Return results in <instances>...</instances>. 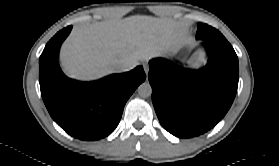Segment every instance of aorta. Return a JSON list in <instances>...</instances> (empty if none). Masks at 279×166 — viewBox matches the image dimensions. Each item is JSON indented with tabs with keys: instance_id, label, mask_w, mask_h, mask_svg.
I'll return each instance as SVG.
<instances>
[{
	"instance_id": "1",
	"label": "aorta",
	"mask_w": 279,
	"mask_h": 166,
	"mask_svg": "<svg viewBox=\"0 0 279 166\" xmlns=\"http://www.w3.org/2000/svg\"><path fill=\"white\" fill-rule=\"evenodd\" d=\"M138 93L140 96L142 97H149L152 94V87L148 82H144L142 83L139 87H138Z\"/></svg>"
}]
</instances>
